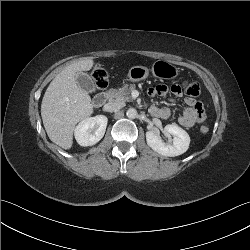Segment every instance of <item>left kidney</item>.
<instances>
[{
    "label": "left kidney",
    "mask_w": 250,
    "mask_h": 250,
    "mask_svg": "<svg viewBox=\"0 0 250 250\" xmlns=\"http://www.w3.org/2000/svg\"><path fill=\"white\" fill-rule=\"evenodd\" d=\"M164 130L173 136L172 142L165 143L158 132L147 131L146 141L149 147L155 152L168 157H175L187 151L190 137L185 130L174 124L166 125Z\"/></svg>",
    "instance_id": "1"
}]
</instances>
